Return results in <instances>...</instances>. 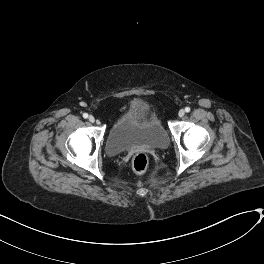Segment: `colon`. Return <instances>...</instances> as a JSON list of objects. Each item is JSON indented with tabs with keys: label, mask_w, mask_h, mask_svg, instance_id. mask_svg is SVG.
<instances>
[{
	"label": "colon",
	"mask_w": 264,
	"mask_h": 264,
	"mask_svg": "<svg viewBox=\"0 0 264 264\" xmlns=\"http://www.w3.org/2000/svg\"><path fill=\"white\" fill-rule=\"evenodd\" d=\"M148 162V156L144 152H139L132 160V167L135 172L143 173L148 167Z\"/></svg>",
	"instance_id": "1"
}]
</instances>
